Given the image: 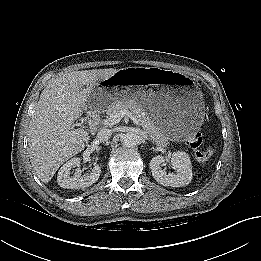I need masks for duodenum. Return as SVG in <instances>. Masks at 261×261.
<instances>
[{"label": "duodenum", "instance_id": "obj_1", "mask_svg": "<svg viewBox=\"0 0 261 261\" xmlns=\"http://www.w3.org/2000/svg\"><path fill=\"white\" fill-rule=\"evenodd\" d=\"M98 121V117L95 113H90L89 114V122L92 124V125H95Z\"/></svg>", "mask_w": 261, "mask_h": 261}]
</instances>
